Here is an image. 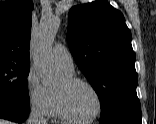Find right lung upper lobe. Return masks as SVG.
Listing matches in <instances>:
<instances>
[{"label":"right lung upper lobe","instance_id":"obj_1","mask_svg":"<svg viewBox=\"0 0 156 124\" xmlns=\"http://www.w3.org/2000/svg\"><path fill=\"white\" fill-rule=\"evenodd\" d=\"M32 1H0V62L30 64Z\"/></svg>","mask_w":156,"mask_h":124}]
</instances>
